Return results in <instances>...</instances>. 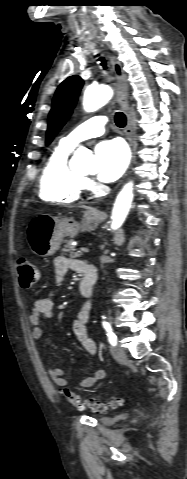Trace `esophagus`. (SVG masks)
<instances>
[{"label":"esophagus","mask_w":187,"mask_h":479,"mask_svg":"<svg viewBox=\"0 0 187 479\" xmlns=\"http://www.w3.org/2000/svg\"><path fill=\"white\" fill-rule=\"evenodd\" d=\"M108 57H109L112 70L114 72L115 79H116V90H117L118 101L127 117L125 135L128 140L129 146L131 148V153L133 154L134 148H133L132 117H131V111H130L128 100H127V95H128L127 76L125 72L123 71L122 65L118 61V59L109 52H108Z\"/></svg>","instance_id":"1"}]
</instances>
